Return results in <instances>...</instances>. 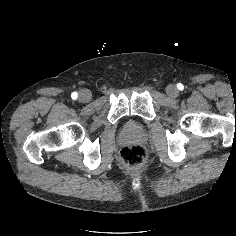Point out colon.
<instances>
[{"instance_id":"colon-1","label":"colon","mask_w":236,"mask_h":236,"mask_svg":"<svg viewBox=\"0 0 236 236\" xmlns=\"http://www.w3.org/2000/svg\"><path fill=\"white\" fill-rule=\"evenodd\" d=\"M146 154L139 145L125 146L120 152L121 163L128 168H137L144 164Z\"/></svg>"}]
</instances>
